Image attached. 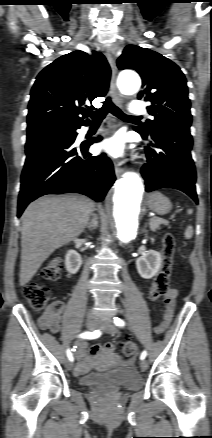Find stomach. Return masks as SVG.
Segmentation results:
<instances>
[{"label":"stomach","mask_w":212,"mask_h":438,"mask_svg":"<svg viewBox=\"0 0 212 438\" xmlns=\"http://www.w3.org/2000/svg\"><path fill=\"white\" fill-rule=\"evenodd\" d=\"M146 204L153 212L164 215L172 208L171 201L160 192H153L147 196Z\"/></svg>","instance_id":"obj_1"}]
</instances>
